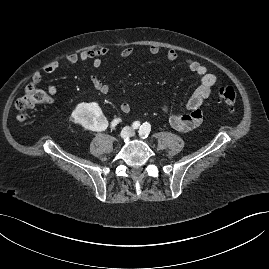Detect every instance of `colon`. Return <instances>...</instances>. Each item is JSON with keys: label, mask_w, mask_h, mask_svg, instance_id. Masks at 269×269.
Segmentation results:
<instances>
[{"label": "colon", "mask_w": 269, "mask_h": 269, "mask_svg": "<svg viewBox=\"0 0 269 269\" xmlns=\"http://www.w3.org/2000/svg\"><path fill=\"white\" fill-rule=\"evenodd\" d=\"M217 98L224 103L229 110L235 109L237 101V91L232 86H221L216 91ZM46 99V95L43 91L38 89L34 84H28L24 90V93L16 101V109L18 111V119L24 121L26 119V111L42 102Z\"/></svg>", "instance_id": "colon-1"}]
</instances>
